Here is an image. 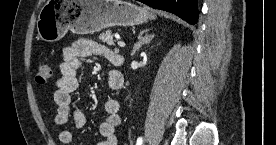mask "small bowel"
<instances>
[{"instance_id": "c3829d8e", "label": "small bowel", "mask_w": 276, "mask_h": 145, "mask_svg": "<svg viewBox=\"0 0 276 145\" xmlns=\"http://www.w3.org/2000/svg\"><path fill=\"white\" fill-rule=\"evenodd\" d=\"M90 55H99L110 61H113L116 56L111 49L91 39L75 40L63 50V59L60 64L61 76L56 81V90L54 92V103L57 106L55 124L58 127L65 126L70 117H72L73 126L76 129H82L86 124L84 113L79 109L72 110L71 95L79 86L77 73L81 67V60ZM116 72L115 70L108 72L109 85ZM104 108L106 116L100 125V133L103 139L99 145H117L115 129L121 122L120 103L117 99L109 98L105 102ZM59 141L62 144H71V132L62 129L59 132Z\"/></svg>"}]
</instances>
